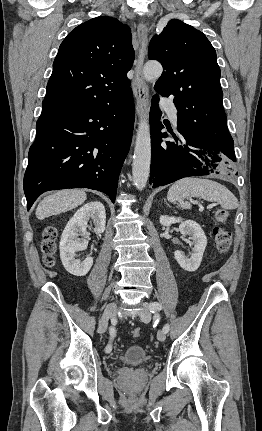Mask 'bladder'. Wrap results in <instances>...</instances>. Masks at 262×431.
Wrapping results in <instances>:
<instances>
[{
	"label": "bladder",
	"instance_id": "1",
	"mask_svg": "<svg viewBox=\"0 0 262 431\" xmlns=\"http://www.w3.org/2000/svg\"><path fill=\"white\" fill-rule=\"evenodd\" d=\"M122 361L128 365H137L148 359L146 350L137 344L128 345L122 353Z\"/></svg>",
	"mask_w": 262,
	"mask_h": 431
}]
</instances>
